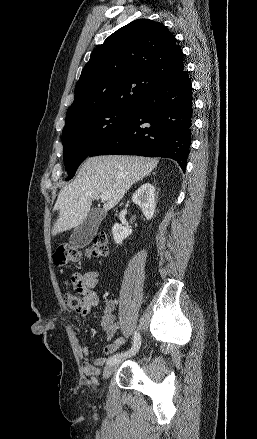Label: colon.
I'll use <instances>...</instances> for the list:
<instances>
[{
  "mask_svg": "<svg viewBox=\"0 0 257 439\" xmlns=\"http://www.w3.org/2000/svg\"><path fill=\"white\" fill-rule=\"evenodd\" d=\"M107 250V236L104 233H98L94 237L92 244L84 250H79L70 245L58 247L53 255V260L56 265H68L76 262L82 255L87 257H103L107 254ZM85 297L82 289H76L64 295V302L70 310L81 313L85 307Z\"/></svg>",
  "mask_w": 257,
  "mask_h": 439,
  "instance_id": "obj_1",
  "label": "colon"
}]
</instances>
